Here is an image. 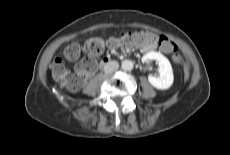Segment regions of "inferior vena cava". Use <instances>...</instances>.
<instances>
[{
    "mask_svg": "<svg viewBox=\"0 0 230 155\" xmlns=\"http://www.w3.org/2000/svg\"><path fill=\"white\" fill-rule=\"evenodd\" d=\"M119 68V63L117 61H111L107 63L104 67L105 73H112L117 71Z\"/></svg>",
    "mask_w": 230,
    "mask_h": 155,
    "instance_id": "602c4592",
    "label": "inferior vena cava"
}]
</instances>
